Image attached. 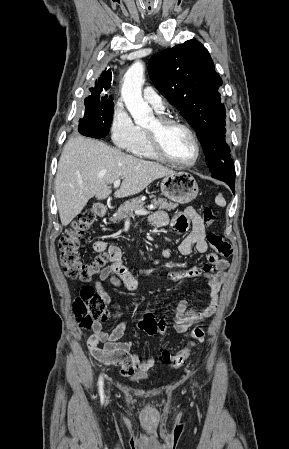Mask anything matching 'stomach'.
<instances>
[{
  "mask_svg": "<svg viewBox=\"0 0 289 449\" xmlns=\"http://www.w3.org/2000/svg\"><path fill=\"white\" fill-rule=\"evenodd\" d=\"M160 187L162 195L179 204H187L198 195L197 182L187 172H174L165 176Z\"/></svg>",
  "mask_w": 289,
  "mask_h": 449,
  "instance_id": "0dacf381",
  "label": "stomach"
}]
</instances>
